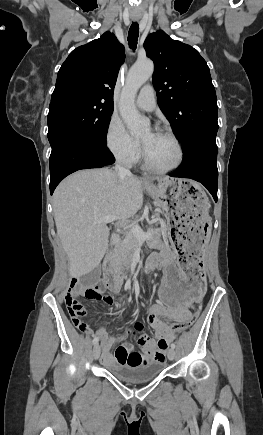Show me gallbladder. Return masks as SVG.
I'll use <instances>...</instances> for the list:
<instances>
[{"instance_id":"obj_1","label":"gallbladder","mask_w":263,"mask_h":435,"mask_svg":"<svg viewBox=\"0 0 263 435\" xmlns=\"http://www.w3.org/2000/svg\"><path fill=\"white\" fill-rule=\"evenodd\" d=\"M100 275H101V265H98L91 272L84 275L81 278V282L84 286H93L98 282Z\"/></svg>"}]
</instances>
